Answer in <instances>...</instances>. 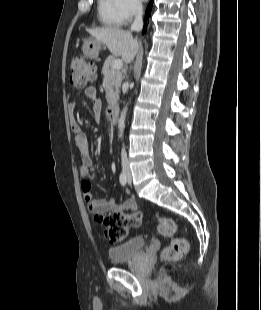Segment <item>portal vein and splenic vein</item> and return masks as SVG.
<instances>
[{"label": "portal vein and splenic vein", "mask_w": 261, "mask_h": 310, "mask_svg": "<svg viewBox=\"0 0 261 310\" xmlns=\"http://www.w3.org/2000/svg\"><path fill=\"white\" fill-rule=\"evenodd\" d=\"M123 66V61L121 59H116L113 62V68L114 69H121Z\"/></svg>", "instance_id": "18ae733b"}]
</instances>
